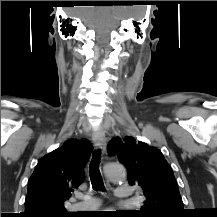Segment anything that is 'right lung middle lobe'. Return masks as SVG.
I'll list each match as a JSON object with an SVG mask.
<instances>
[{
  "label": "right lung middle lobe",
  "instance_id": "1",
  "mask_svg": "<svg viewBox=\"0 0 217 217\" xmlns=\"http://www.w3.org/2000/svg\"><path fill=\"white\" fill-rule=\"evenodd\" d=\"M54 217H68V216H65V215H55Z\"/></svg>",
  "mask_w": 217,
  "mask_h": 217
}]
</instances>
